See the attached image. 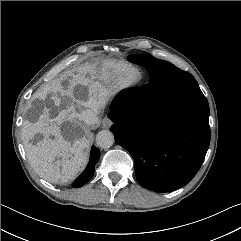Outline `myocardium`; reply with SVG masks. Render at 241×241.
I'll return each mask as SVG.
<instances>
[{
  "instance_id": "obj_1",
  "label": "myocardium",
  "mask_w": 241,
  "mask_h": 241,
  "mask_svg": "<svg viewBox=\"0 0 241 241\" xmlns=\"http://www.w3.org/2000/svg\"><path fill=\"white\" fill-rule=\"evenodd\" d=\"M132 69H136L138 71V76L135 78L129 77V72ZM143 71L141 68L135 65H129L126 69H124L117 78V86L121 91H128L136 88L141 81L143 80Z\"/></svg>"
}]
</instances>
